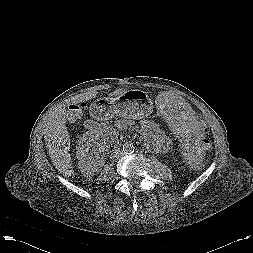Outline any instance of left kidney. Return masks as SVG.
<instances>
[{"instance_id": "obj_1", "label": "left kidney", "mask_w": 253, "mask_h": 253, "mask_svg": "<svg viewBox=\"0 0 253 253\" xmlns=\"http://www.w3.org/2000/svg\"><path fill=\"white\" fill-rule=\"evenodd\" d=\"M141 135L147 146L154 149L155 152L166 151L170 141L165 132L159 126L151 121L142 124Z\"/></svg>"}]
</instances>
